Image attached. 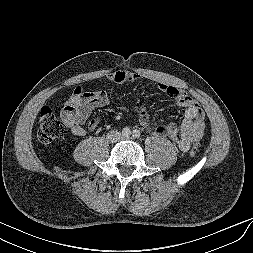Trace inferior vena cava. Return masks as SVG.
<instances>
[{
	"label": "inferior vena cava",
	"mask_w": 253,
	"mask_h": 253,
	"mask_svg": "<svg viewBox=\"0 0 253 253\" xmlns=\"http://www.w3.org/2000/svg\"><path fill=\"white\" fill-rule=\"evenodd\" d=\"M107 139L111 142H117L122 139V135L118 131H111L107 134Z\"/></svg>",
	"instance_id": "inferior-vena-cava-1"
}]
</instances>
